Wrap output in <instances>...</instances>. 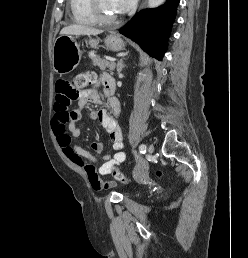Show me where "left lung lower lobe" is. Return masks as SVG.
Returning a JSON list of instances; mask_svg holds the SVG:
<instances>
[{"instance_id":"1","label":"left lung lower lobe","mask_w":248,"mask_h":258,"mask_svg":"<svg viewBox=\"0 0 248 258\" xmlns=\"http://www.w3.org/2000/svg\"><path fill=\"white\" fill-rule=\"evenodd\" d=\"M178 4L179 0H167L158 8L142 10L119 32L138 43L151 56L161 60Z\"/></svg>"}]
</instances>
